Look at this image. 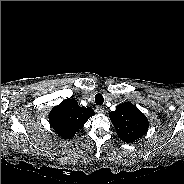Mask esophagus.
Masks as SVG:
<instances>
[{"instance_id": "esophagus-1", "label": "esophagus", "mask_w": 184, "mask_h": 184, "mask_svg": "<svg viewBox=\"0 0 184 184\" xmlns=\"http://www.w3.org/2000/svg\"><path fill=\"white\" fill-rule=\"evenodd\" d=\"M96 112L99 114H103L104 113V107L103 106H97L96 107Z\"/></svg>"}]
</instances>
